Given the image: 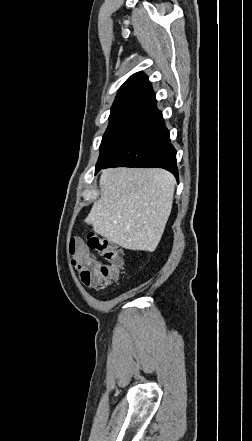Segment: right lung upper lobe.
Instances as JSON below:
<instances>
[{
  "label": "right lung upper lobe",
  "mask_w": 252,
  "mask_h": 441,
  "mask_svg": "<svg viewBox=\"0 0 252 441\" xmlns=\"http://www.w3.org/2000/svg\"><path fill=\"white\" fill-rule=\"evenodd\" d=\"M155 94L151 82L142 72L133 74L120 87L112 108L132 103L149 102Z\"/></svg>",
  "instance_id": "cb5924a9"
}]
</instances>
